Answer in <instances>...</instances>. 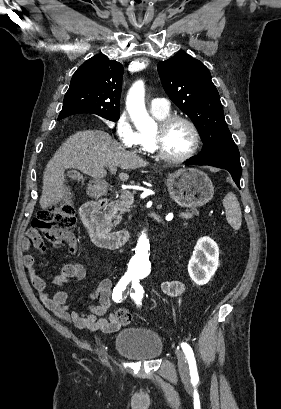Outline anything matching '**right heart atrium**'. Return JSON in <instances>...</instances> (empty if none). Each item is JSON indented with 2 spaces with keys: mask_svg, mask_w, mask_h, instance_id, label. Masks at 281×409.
<instances>
[{
  "mask_svg": "<svg viewBox=\"0 0 281 409\" xmlns=\"http://www.w3.org/2000/svg\"><path fill=\"white\" fill-rule=\"evenodd\" d=\"M114 124L118 140L122 146L125 149L135 148L138 143V134L132 127L129 119H122L119 115Z\"/></svg>",
  "mask_w": 281,
  "mask_h": 409,
  "instance_id": "d8ad5b80",
  "label": "right heart atrium"
}]
</instances>
